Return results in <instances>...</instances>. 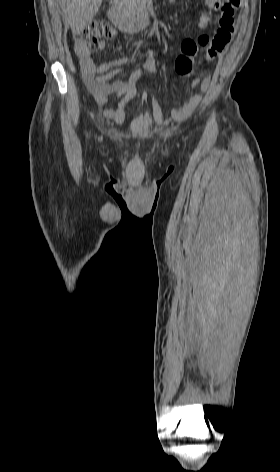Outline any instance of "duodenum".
<instances>
[{
	"label": "duodenum",
	"mask_w": 280,
	"mask_h": 472,
	"mask_svg": "<svg viewBox=\"0 0 280 472\" xmlns=\"http://www.w3.org/2000/svg\"><path fill=\"white\" fill-rule=\"evenodd\" d=\"M109 19L123 32L133 33L147 27L150 16L146 9L136 3L130 5H113L108 10Z\"/></svg>",
	"instance_id": "410a0bca"
}]
</instances>
